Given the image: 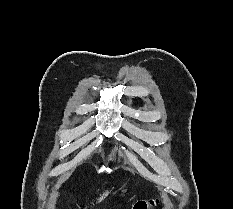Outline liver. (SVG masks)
Here are the masks:
<instances>
[{
    "instance_id": "obj_1",
    "label": "liver",
    "mask_w": 233,
    "mask_h": 209,
    "mask_svg": "<svg viewBox=\"0 0 233 209\" xmlns=\"http://www.w3.org/2000/svg\"><path fill=\"white\" fill-rule=\"evenodd\" d=\"M108 193H109V191L104 192V193L100 196V198L98 199V201L103 200V199L108 195Z\"/></svg>"
}]
</instances>
